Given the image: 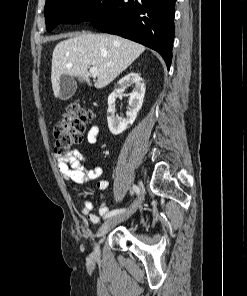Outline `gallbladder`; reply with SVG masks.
I'll list each match as a JSON object with an SVG mask.
<instances>
[{"label": "gallbladder", "instance_id": "1", "mask_svg": "<svg viewBox=\"0 0 247 296\" xmlns=\"http://www.w3.org/2000/svg\"><path fill=\"white\" fill-rule=\"evenodd\" d=\"M77 89L76 81L69 75H62L60 77V91L59 98L61 100L70 99Z\"/></svg>", "mask_w": 247, "mask_h": 296}]
</instances>
